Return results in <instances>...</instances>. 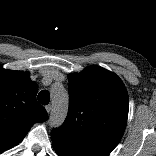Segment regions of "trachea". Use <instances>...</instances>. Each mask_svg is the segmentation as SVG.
Listing matches in <instances>:
<instances>
[{
    "label": "trachea",
    "mask_w": 156,
    "mask_h": 156,
    "mask_svg": "<svg viewBox=\"0 0 156 156\" xmlns=\"http://www.w3.org/2000/svg\"><path fill=\"white\" fill-rule=\"evenodd\" d=\"M38 101L43 104V105H47L50 101V94L47 90H42L39 94H38Z\"/></svg>",
    "instance_id": "obj_1"
}]
</instances>
